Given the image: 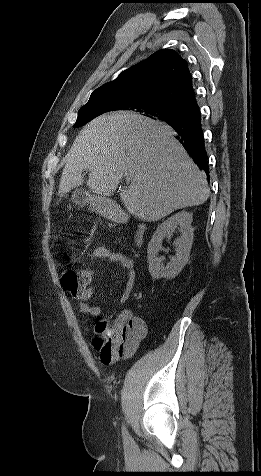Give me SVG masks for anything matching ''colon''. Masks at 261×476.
I'll return each mask as SVG.
<instances>
[{"instance_id": "colon-1", "label": "colon", "mask_w": 261, "mask_h": 476, "mask_svg": "<svg viewBox=\"0 0 261 476\" xmlns=\"http://www.w3.org/2000/svg\"><path fill=\"white\" fill-rule=\"evenodd\" d=\"M62 287L75 294L91 280V274L87 270L79 271L74 268H65L61 273ZM121 331L112 328L105 321L99 320L96 325L95 347L103 353L108 352L119 340Z\"/></svg>"}]
</instances>
